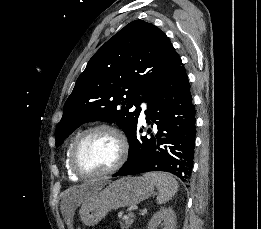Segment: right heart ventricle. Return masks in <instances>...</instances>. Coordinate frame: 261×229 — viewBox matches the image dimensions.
Here are the masks:
<instances>
[{
    "instance_id": "e07e8e85",
    "label": "right heart ventricle",
    "mask_w": 261,
    "mask_h": 229,
    "mask_svg": "<svg viewBox=\"0 0 261 229\" xmlns=\"http://www.w3.org/2000/svg\"><path fill=\"white\" fill-rule=\"evenodd\" d=\"M78 137V135H76L72 141L70 142V144L68 145L67 147V150H66V160H65V165H66V168H67V171L68 173L73 176V177H77V175L71 170L70 166H69V155H70V148L73 144V142L76 140V138Z\"/></svg>"
}]
</instances>
